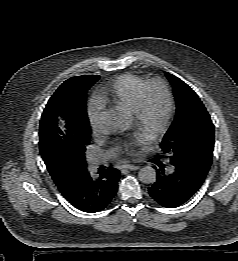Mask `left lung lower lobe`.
<instances>
[{
	"instance_id": "0a47b994",
	"label": "left lung lower lobe",
	"mask_w": 238,
	"mask_h": 261,
	"mask_svg": "<svg viewBox=\"0 0 238 261\" xmlns=\"http://www.w3.org/2000/svg\"><path fill=\"white\" fill-rule=\"evenodd\" d=\"M156 181L148 189L150 196L167 208L187 202L201 187L207 173L196 168L172 164L169 168L157 161Z\"/></svg>"
}]
</instances>
